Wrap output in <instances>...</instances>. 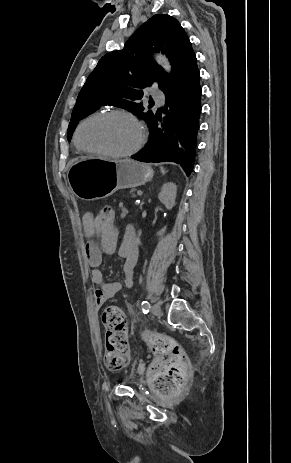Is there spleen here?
Segmentation results:
<instances>
[{
	"label": "spleen",
	"mask_w": 291,
	"mask_h": 463,
	"mask_svg": "<svg viewBox=\"0 0 291 463\" xmlns=\"http://www.w3.org/2000/svg\"><path fill=\"white\" fill-rule=\"evenodd\" d=\"M161 173H162V174H165V170H164L163 167H161Z\"/></svg>",
	"instance_id": "spleen-1"
}]
</instances>
